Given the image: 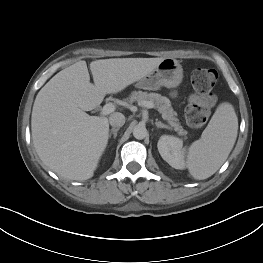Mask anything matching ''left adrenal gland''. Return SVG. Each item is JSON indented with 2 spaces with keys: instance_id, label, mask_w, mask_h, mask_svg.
<instances>
[{
  "instance_id": "obj_1",
  "label": "left adrenal gland",
  "mask_w": 263,
  "mask_h": 263,
  "mask_svg": "<svg viewBox=\"0 0 263 263\" xmlns=\"http://www.w3.org/2000/svg\"><path fill=\"white\" fill-rule=\"evenodd\" d=\"M155 125H156L157 128H166V129H170L169 126H167V125H165V124H163L162 122L157 121V120H156V122H155Z\"/></svg>"
}]
</instances>
